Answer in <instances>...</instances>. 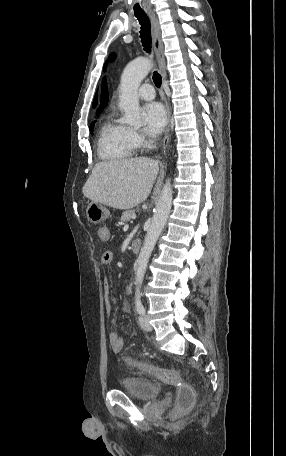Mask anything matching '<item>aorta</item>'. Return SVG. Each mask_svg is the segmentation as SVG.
<instances>
[{
	"label": "aorta",
	"instance_id": "1",
	"mask_svg": "<svg viewBox=\"0 0 286 456\" xmlns=\"http://www.w3.org/2000/svg\"><path fill=\"white\" fill-rule=\"evenodd\" d=\"M152 68V62L147 58H137L129 63L121 76L119 87L120 107L124 110L123 123L141 126L138 87ZM173 191L168 179L163 186L160 198L155 208L150 228L146 234L143 246L137 259L135 286L138 290L143 282L147 265L155 244L167 222L172 206Z\"/></svg>",
	"mask_w": 286,
	"mask_h": 456
}]
</instances>
